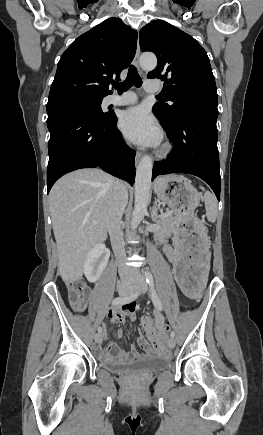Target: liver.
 Segmentation results:
<instances>
[{"label": "liver", "instance_id": "6515ba94", "mask_svg": "<svg viewBox=\"0 0 263 435\" xmlns=\"http://www.w3.org/2000/svg\"><path fill=\"white\" fill-rule=\"evenodd\" d=\"M115 180L100 169L65 175L49 194L59 271L65 283L80 279L88 252L107 236Z\"/></svg>", "mask_w": 263, "mask_h": 435}]
</instances>
